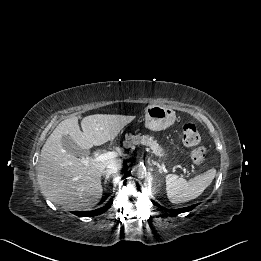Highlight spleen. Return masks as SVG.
Returning a JSON list of instances; mask_svg holds the SVG:
<instances>
[{
  "label": "spleen",
  "mask_w": 261,
  "mask_h": 261,
  "mask_svg": "<svg viewBox=\"0 0 261 261\" xmlns=\"http://www.w3.org/2000/svg\"><path fill=\"white\" fill-rule=\"evenodd\" d=\"M215 176L216 169L214 168L195 176L189 181L175 174H168L165 178L167 196L175 204L193 200L204 192Z\"/></svg>",
  "instance_id": "3e777b00"
}]
</instances>
